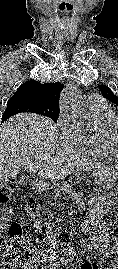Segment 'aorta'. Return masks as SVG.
Wrapping results in <instances>:
<instances>
[{
    "mask_svg": "<svg viewBox=\"0 0 118 269\" xmlns=\"http://www.w3.org/2000/svg\"><path fill=\"white\" fill-rule=\"evenodd\" d=\"M61 105L64 111L79 119L86 127L93 126L92 122L88 119V114L74 86H69L65 89Z\"/></svg>",
    "mask_w": 118,
    "mask_h": 269,
    "instance_id": "762f6f07",
    "label": "aorta"
}]
</instances>
